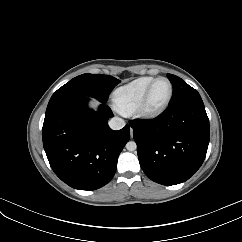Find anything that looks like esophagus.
<instances>
[{"label":"esophagus","mask_w":242,"mask_h":242,"mask_svg":"<svg viewBox=\"0 0 242 242\" xmlns=\"http://www.w3.org/2000/svg\"><path fill=\"white\" fill-rule=\"evenodd\" d=\"M130 135H131V137L133 136V130L132 129L130 130Z\"/></svg>","instance_id":"34e87169"}]
</instances>
